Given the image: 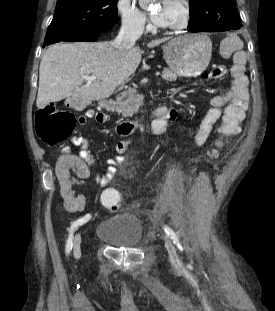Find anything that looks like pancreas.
<instances>
[{"label":"pancreas","mask_w":275,"mask_h":311,"mask_svg":"<svg viewBox=\"0 0 275 311\" xmlns=\"http://www.w3.org/2000/svg\"><path fill=\"white\" fill-rule=\"evenodd\" d=\"M177 77L178 75L171 70L167 68L163 69L162 78L165 81L172 82ZM113 106L118 114H121L123 117H130L138 110L140 97L134 89L128 88L117 96Z\"/></svg>","instance_id":"cf45deb5"}]
</instances>
